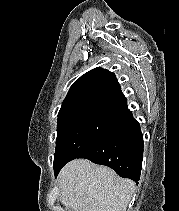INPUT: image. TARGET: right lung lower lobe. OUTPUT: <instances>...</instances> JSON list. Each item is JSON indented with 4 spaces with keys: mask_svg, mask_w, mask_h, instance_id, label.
Listing matches in <instances>:
<instances>
[{
    "mask_svg": "<svg viewBox=\"0 0 179 211\" xmlns=\"http://www.w3.org/2000/svg\"><path fill=\"white\" fill-rule=\"evenodd\" d=\"M143 135L139 123L126 107L114 128L96 145L80 154L93 163L112 168L119 176L140 179L143 160ZM63 166L55 168V176Z\"/></svg>",
    "mask_w": 179,
    "mask_h": 211,
    "instance_id": "1",
    "label": "right lung lower lobe"
}]
</instances>
